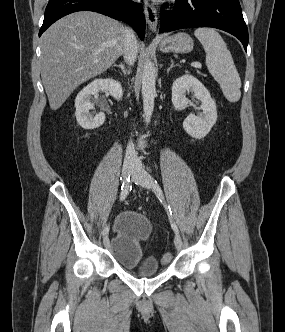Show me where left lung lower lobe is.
Masks as SVG:
<instances>
[{
    "mask_svg": "<svg viewBox=\"0 0 285 332\" xmlns=\"http://www.w3.org/2000/svg\"><path fill=\"white\" fill-rule=\"evenodd\" d=\"M160 32L214 27L237 37L247 51L248 29L239 0H178L173 10L160 12Z\"/></svg>",
    "mask_w": 285,
    "mask_h": 332,
    "instance_id": "obj_1",
    "label": "left lung lower lobe"
}]
</instances>
